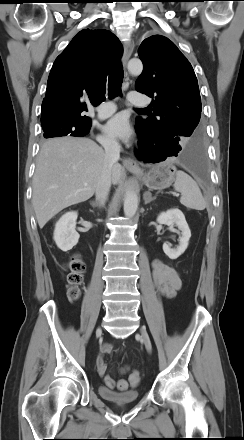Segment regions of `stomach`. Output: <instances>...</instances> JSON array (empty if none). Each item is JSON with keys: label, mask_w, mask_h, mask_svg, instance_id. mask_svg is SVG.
Returning a JSON list of instances; mask_svg holds the SVG:
<instances>
[{"label": "stomach", "mask_w": 244, "mask_h": 440, "mask_svg": "<svg viewBox=\"0 0 244 440\" xmlns=\"http://www.w3.org/2000/svg\"><path fill=\"white\" fill-rule=\"evenodd\" d=\"M130 171L138 175L143 183L149 189L153 190H162L170 187L177 172L175 166L169 161L153 165L145 172L143 170L133 169H130Z\"/></svg>", "instance_id": "1"}]
</instances>
